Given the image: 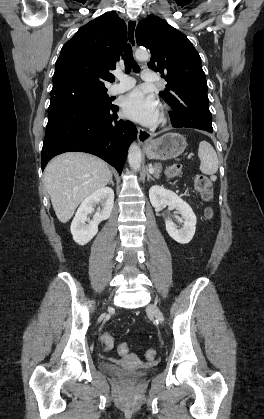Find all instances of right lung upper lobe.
<instances>
[{"instance_id":"right-lung-upper-lobe-1","label":"right lung upper lobe","mask_w":264,"mask_h":419,"mask_svg":"<svg viewBox=\"0 0 264 419\" xmlns=\"http://www.w3.org/2000/svg\"><path fill=\"white\" fill-rule=\"evenodd\" d=\"M126 42L127 26L115 14L105 13L81 27L61 49L50 94L105 88V81L115 79L110 70L116 69Z\"/></svg>"}]
</instances>
